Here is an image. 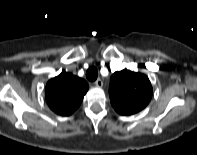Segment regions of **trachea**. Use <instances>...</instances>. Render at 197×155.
Returning <instances> with one entry per match:
<instances>
[{"instance_id":"obj_1","label":"trachea","mask_w":197,"mask_h":155,"mask_svg":"<svg viewBox=\"0 0 197 155\" xmlns=\"http://www.w3.org/2000/svg\"><path fill=\"white\" fill-rule=\"evenodd\" d=\"M86 77L89 81H95L98 77V70L96 67L92 66L90 68H88V70L86 71Z\"/></svg>"}]
</instances>
